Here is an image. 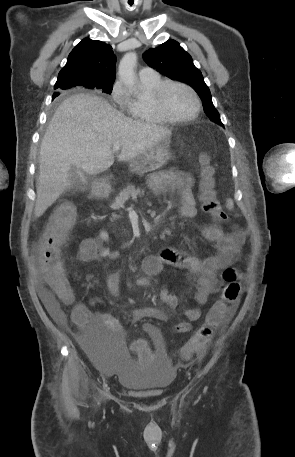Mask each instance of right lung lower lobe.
I'll list each match as a JSON object with an SVG mask.
<instances>
[{"mask_svg":"<svg viewBox=\"0 0 295 457\" xmlns=\"http://www.w3.org/2000/svg\"><path fill=\"white\" fill-rule=\"evenodd\" d=\"M56 96H58V93H55V94L53 95V99H54Z\"/></svg>","mask_w":295,"mask_h":457,"instance_id":"1","label":"right lung lower lobe"}]
</instances>
